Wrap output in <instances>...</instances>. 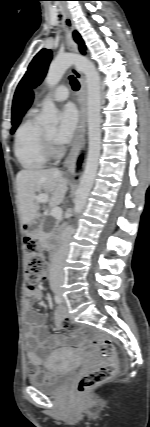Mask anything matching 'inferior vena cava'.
I'll return each mask as SVG.
<instances>
[{
	"label": "inferior vena cava",
	"instance_id": "inferior-vena-cava-1",
	"mask_svg": "<svg viewBox=\"0 0 150 427\" xmlns=\"http://www.w3.org/2000/svg\"><path fill=\"white\" fill-rule=\"evenodd\" d=\"M73 234V228L67 226L62 238L59 250L57 251L50 268L49 282L51 287H56L64 282V265L68 255L69 241Z\"/></svg>",
	"mask_w": 150,
	"mask_h": 427
}]
</instances>
